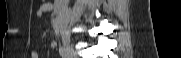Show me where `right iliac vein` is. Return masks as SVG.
I'll use <instances>...</instances> for the list:
<instances>
[{"instance_id":"1","label":"right iliac vein","mask_w":181,"mask_h":58,"mask_svg":"<svg viewBox=\"0 0 181 58\" xmlns=\"http://www.w3.org/2000/svg\"><path fill=\"white\" fill-rule=\"evenodd\" d=\"M64 49L67 53L68 58H76V52L74 51L73 46L70 43V40L67 37L62 38Z\"/></svg>"}]
</instances>
